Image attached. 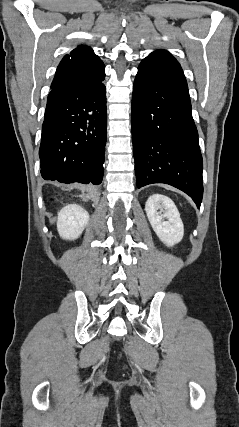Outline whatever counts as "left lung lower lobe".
<instances>
[{
    "label": "left lung lower lobe",
    "instance_id": "1",
    "mask_svg": "<svg viewBox=\"0 0 239 427\" xmlns=\"http://www.w3.org/2000/svg\"><path fill=\"white\" fill-rule=\"evenodd\" d=\"M131 123L137 187L169 184L199 208L203 162L185 77L142 61L133 86Z\"/></svg>",
    "mask_w": 239,
    "mask_h": 427
}]
</instances>
